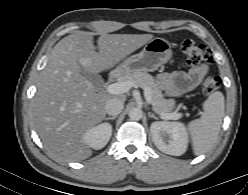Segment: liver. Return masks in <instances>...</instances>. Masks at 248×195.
I'll return each instance as SVG.
<instances>
[{
  "label": "liver",
  "mask_w": 248,
  "mask_h": 195,
  "mask_svg": "<svg viewBox=\"0 0 248 195\" xmlns=\"http://www.w3.org/2000/svg\"><path fill=\"white\" fill-rule=\"evenodd\" d=\"M152 38V34L102 33L96 52L93 33L77 31L54 46L32 104L35 130L53 157L67 161L90 157L83 135L105 119V105L114 98L96 92L80 66L97 74L110 70Z\"/></svg>",
  "instance_id": "1"
}]
</instances>
